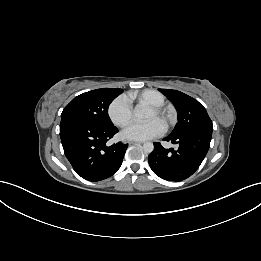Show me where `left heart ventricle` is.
Masks as SVG:
<instances>
[{"instance_id":"obj_1","label":"left heart ventricle","mask_w":261,"mask_h":261,"mask_svg":"<svg viewBox=\"0 0 261 261\" xmlns=\"http://www.w3.org/2000/svg\"><path fill=\"white\" fill-rule=\"evenodd\" d=\"M147 120H151V119H158L159 121H161L164 124V119L160 116H158L153 110H149L147 116H146Z\"/></svg>"}]
</instances>
